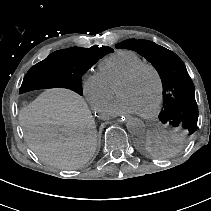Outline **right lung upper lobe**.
<instances>
[{
	"label": "right lung upper lobe",
	"mask_w": 211,
	"mask_h": 211,
	"mask_svg": "<svg viewBox=\"0 0 211 211\" xmlns=\"http://www.w3.org/2000/svg\"><path fill=\"white\" fill-rule=\"evenodd\" d=\"M91 48H98V49H104V50H106V51H108L109 53H111V52H113V49H111L110 47H97V46H93V47H91Z\"/></svg>",
	"instance_id": "cb5924a9"
}]
</instances>
